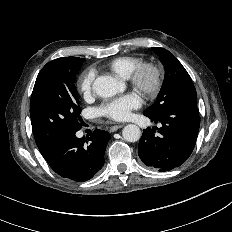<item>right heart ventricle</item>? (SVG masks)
Returning a JSON list of instances; mask_svg holds the SVG:
<instances>
[{"instance_id":"right-heart-ventricle-1","label":"right heart ventricle","mask_w":232,"mask_h":232,"mask_svg":"<svg viewBox=\"0 0 232 232\" xmlns=\"http://www.w3.org/2000/svg\"><path fill=\"white\" fill-rule=\"evenodd\" d=\"M140 63L141 59L139 57L126 55L111 60L107 67L115 75L121 78H128Z\"/></svg>"}]
</instances>
